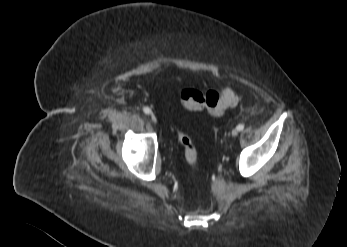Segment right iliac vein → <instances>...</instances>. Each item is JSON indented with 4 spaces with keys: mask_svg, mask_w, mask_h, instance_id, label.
<instances>
[{
    "mask_svg": "<svg viewBox=\"0 0 347 247\" xmlns=\"http://www.w3.org/2000/svg\"><path fill=\"white\" fill-rule=\"evenodd\" d=\"M150 120H151L153 123H156V122H157V118H156V116H155L153 113L150 114Z\"/></svg>",
    "mask_w": 347,
    "mask_h": 247,
    "instance_id": "obj_1",
    "label": "right iliac vein"
}]
</instances>
